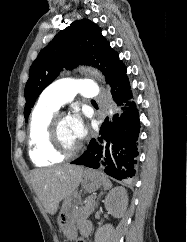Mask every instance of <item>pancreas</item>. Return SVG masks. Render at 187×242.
<instances>
[{"instance_id":"obj_1","label":"pancreas","mask_w":187,"mask_h":242,"mask_svg":"<svg viewBox=\"0 0 187 242\" xmlns=\"http://www.w3.org/2000/svg\"><path fill=\"white\" fill-rule=\"evenodd\" d=\"M95 197L91 196L88 197L85 201V206L81 207L79 209L78 214L81 216V218H85L87 216H89L95 209Z\"/></svg>"}]
</instances>
